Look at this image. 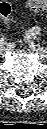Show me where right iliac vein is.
I'll return each instance as SVG.
<instances>
[{"mask_svg": "<svg viewBox=\"0 0 47 129\" xmlns=\"http://www.w3.org/2000/svg\"><path fill=\"white\" fill-rule=\"evenodd\" d=\"M6 50H8V45L7 44L0 45V53H4Z\"/></svg>", "mask_w": 47, "mask_h": 129, "instance_id": "obj_1", "label": "right iliac vein"}]
</instances>
